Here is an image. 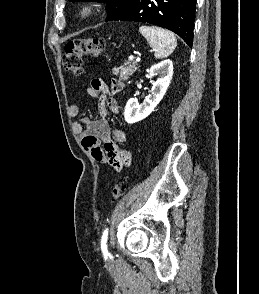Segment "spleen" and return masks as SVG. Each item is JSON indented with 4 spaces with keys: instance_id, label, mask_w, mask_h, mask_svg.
<instances>
[{
    "instance_id": "obj_1",
    "label": "spleen",
    "mask_w": 259,
    "mask_h": 294,
    "mask_svg": "<svg viewBox=\"0 0 259 294\" xmlns=\"http://www.w3.org/2000/svg\"><path fill=\"white\" fill-rule=\"evenodd\" d=\"M140 33L146 38L157 59L168 57L177 46L174 34L155 26H141Z\"/></svg>"
}]
</instances>
